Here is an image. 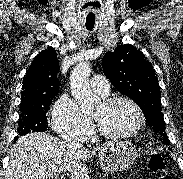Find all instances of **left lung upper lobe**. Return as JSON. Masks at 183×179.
Returning a JSON list of instances; mask_svg holds the SVG:
<instances>
[{"instance_id": "obj_1", "label": "left lung upper lobe", "mask_w": 183, "mask_h": 179, "mask_svg": "<svg viewBox=\"0 0 183 179\" xmlns=\"http://www.w3.org/2000/svg\"><path fill=\"white\" fill-rule=\"evenodd\" d=\"M102 67L113 86L140 106L149 126L168 145L158 79L144 54L130 44L119 45L114 52L104 55Z\"/></svg>"}]
</instances>
